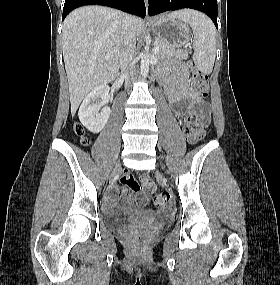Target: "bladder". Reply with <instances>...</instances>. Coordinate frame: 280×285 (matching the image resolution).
<instances>
[{
    "label": "bladder",
    "instance_id": "bladder-1",
    "mask_svg": "<svg viewBox=\"0 0 280 285\" xmlns=\"http://www.w3.org/2000/svg\"><path fill=\"white\" fill-rule=\"evenodd\" d=\"M148 217L155 219L158 223L163 221L162 217L152 211L145 213ZM105 224L115 230H124L138 221V217L134 215H124L116 212L103 214Z\"/></svg>",
    "mask_w": 280,
    "mask_h": 285
}]
</instances>
